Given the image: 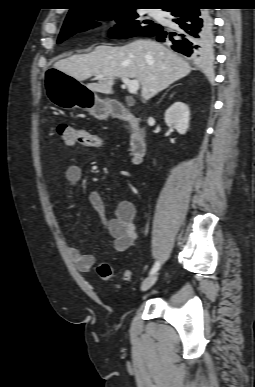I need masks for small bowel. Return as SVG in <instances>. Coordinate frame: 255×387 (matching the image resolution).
<instances>
[{"label":"small bowel","instance_id":"c3829d8e","mask_svg":"<svg viewBox=\"0 0 255 387\" xmlns=\"http://www.w3.org/2000/svg\"><path fill=\"white\" fill-rule=\"evenodd\" d=\"M82 178V169L79 165H70L65 171V179L69 186L77 185ZM89 202L96 213L105 233L112 239L113 249L124 252L133 247L137 241L136 231V208L131 201L124 200L118 203L111 219L105 218V206L99 192L93 191L89 194ZM54 216L60 229L69 231V219L57 207H54ZM69 255L81 272H88L95 264V257L84 254L78 248L69 247Z\"/></svg>","mask_w":255,"mask_h":387}]
</instances>
